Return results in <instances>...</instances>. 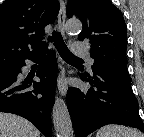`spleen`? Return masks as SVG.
<instances>
[{"label":"spleen","mask_w":144,"mask_h":137,"mask_svg":"<svg viewBox=\"0 0 144 137\" xmlns=\"http://www.w3.org/2000/svg\"><path fill=\"white\" fill-rule=\"evenodd\" d=\"M96 137H144V135L130 127L106 125L98 130Z\"/></svg>","instance_id":"obj_1"}]
</instances>
